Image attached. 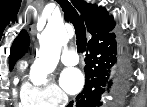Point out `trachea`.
<instances>
[{
  "instance_id": "3493384b",
  "label": "trachea",
  "mask_w": 147,
  "mask_h": 107,
  "mask_svg": "<svg viewBox=\"0 0 147 107\" xmlns=\"http://www.w3.org/2000/svg\"><path fill=\"white\" fill-rule=\"evenodd\" d=\"M57 2L62 8L65 18L69 20L74 26L77 50L82 53L85 52L87 40L84 20L79 17L78 12L68 0H57Z\"/></svg>"
}]
</instances>
